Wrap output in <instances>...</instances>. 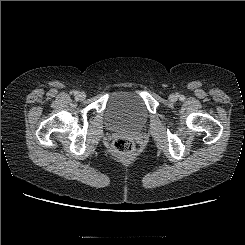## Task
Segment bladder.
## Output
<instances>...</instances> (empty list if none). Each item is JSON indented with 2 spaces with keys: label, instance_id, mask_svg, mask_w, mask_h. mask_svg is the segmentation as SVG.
I'll list each match as a JSON object with an SVG mask.
<instances>
[{
  "label": "bladder",
  "instance_id": "obj_1",
  "mask_svg": "<svg viewBox=\"0 0 245 245\" xmlns=\"http://www.w3.org/2000/svg\"><path fill=\"white\" fill-rule=\"evenodd\" d=\"M106 118L112 126L138 129L146 124L148 113L138 94L121 91L111 97L106 110Z\"/></svg>",
  "mask_w": 245,
  "mask_h": 245
}]
</instances>
